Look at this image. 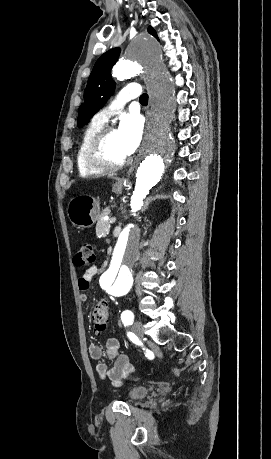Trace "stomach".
Returning a JSON list of instances; mask_svg holds the SVG:
<instances>
[{"instance_id": "1", "label": "stomach", "mask_w": 271, "mask_h": 459, "mask_svg": "<svg viewBox=\"0 0 271 459\" xmlns=\"http://www.w3.org/2000/svg\"><path fill=\"white\" fill-rule=\"evenodd\" d=\"M124 186H113L114 194H122ZM68 218L77 228L85 229L94 226L99 220L100 206L91 196H77L70 200L67 208Z\"/></svg>"}]
</instances>
